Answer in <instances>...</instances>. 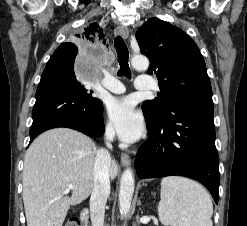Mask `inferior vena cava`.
Listing matches in <instances>:
<instances>
[{"label": "inferior vena cava", "mask_w": 247, "mask_h": 226, "mask_svg": "<svg viewBox=\"0 0 247 226\" xmlns=\"http://www.w3.org/2000/svg\"><path fill=\"white\" fill-rule=\"evenodd\" d=\"M115 132L111 126L105 130L106 145L112 149ZM111 156L108 150L100 149L96 152L94 162V185L90 198V214L92 226H104L105 206L110 194L109 168Z\"/></svg>", "instance_id": "1"}]
</instances>
